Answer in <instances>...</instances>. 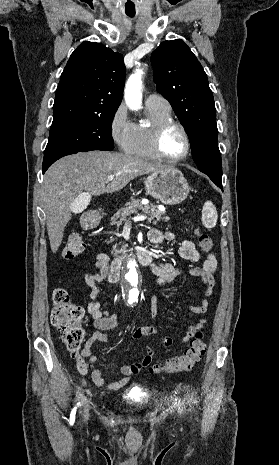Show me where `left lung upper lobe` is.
<instances>
[{"instance_id": "obj_1", "label": "left lung upper lobe", "mask_w": 279, "mask_h": 465, "mask_svg": "<svg viewBox=\"0 0 279 465\" xmlns=\"http://www.w3.org/2000/svg\"><path fill=\"white\" fill-rule=\"evenodd\" d=\"M151 60L156 88L185 128L197 167L221 186L216 110L203 67L180 39L162 42Z\"/></svg>"}]
</instances>
